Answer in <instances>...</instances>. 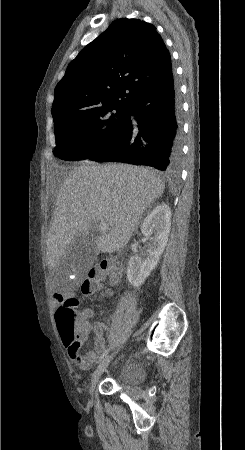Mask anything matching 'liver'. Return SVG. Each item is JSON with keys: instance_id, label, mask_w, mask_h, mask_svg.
Listing matches in <instances>:
<instances>
[{"instance_id": "obj_1", "label": "liver", "mask_w": 245, "mask_h": 450, "mask_svg": "<svg viewBox=\"0 0 245 450\" xmlns=\"http://www.w3.org/2000/svg\"><path fill=\"white\" fill-rule=\"evenodd\" d=\"M165 189L164 180L129 164L81 165L70 171L56 198L47 234L48 266L54 269L78 235L106 222L109 232L94 238L97 252L124 248L150 204Z\"/></svg>"}]
</instances>
